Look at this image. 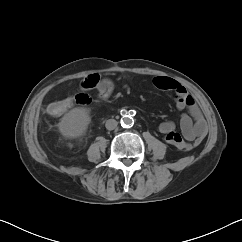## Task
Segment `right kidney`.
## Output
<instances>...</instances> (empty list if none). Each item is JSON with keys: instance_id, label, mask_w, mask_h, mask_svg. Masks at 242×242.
Instances as JSON below:
<instances>
[{"instance_id": "obj_1", "label": "right kidney", "mask_w": 242, "mask_h": 242, "mask_svg": "<svg viewBox=\"0 0 242 242\" xmlns=\"http://www.w3.org/2000/svg\"><path fill=\"white\" fill-rule=\"evenodd\" d=\"M90 123V110L76 107L66 113L59 123V131L65 138L77 139L82 137Z\"/></svg>"}]
</instances>
